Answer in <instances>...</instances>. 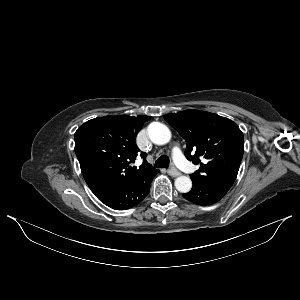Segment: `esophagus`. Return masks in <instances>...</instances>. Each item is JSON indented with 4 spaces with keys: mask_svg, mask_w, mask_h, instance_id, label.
Segmentation results:
<instances>
[{
    "mask_svg": "<svg viewBox=\"0 0 300 300\" xmlns=\"http://www.w3.org/2000/svg\"><path fill=\"white\" fill-rule=\"evenodd\" d=\"M168 174L172 177H177V176L181 175V173L175 167H172L171 169H169Z\"/></svg>",
    "mask_w": 300,
    "mask_h": 300,
    "instance_id": "esophagus-1",
    "label": "esophagus"
}]
</instances>
